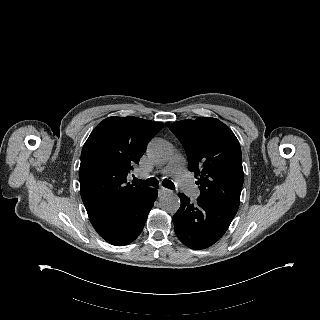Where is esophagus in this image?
<instances>
[{"instance_id":"esophagus-1","label":"esophagus","mask_w":320,"mask_h":320,"mask_svg":"<svg viewBox=\"0 0 320 320\" xmlns=\"http://www.w3.org/2000/svg\"><path fill=\"white\" fill-rule=\"evenodd\" d=\"M171 192V190H169V189H167V188H165V187H159V189H158V194L159 195H163V194H166V193H170Z\"/></svg>"}]
</instances>
